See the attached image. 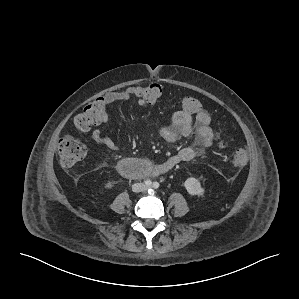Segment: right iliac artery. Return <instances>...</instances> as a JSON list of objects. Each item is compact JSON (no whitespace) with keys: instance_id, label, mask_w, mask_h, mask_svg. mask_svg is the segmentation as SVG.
<instances>
[{"instance_id":"1","label":"right iliac artery","mask_w":299,"mask_h":299,"mask_svg":"<svg viewBox=\"0 0 299 299\" xmlns=\"http://www.w3.org/2000/svg\"><path fill=\"white\" fill-rule=\"evenodd\" d=\"M145 185H147V186H151V185H152L151 180H146V181H145Z\"/></svg>"}]
</instances>
